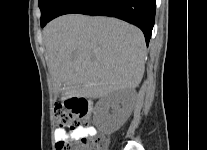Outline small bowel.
<instances>
[{
  "label": "small bowel",
  "instance_id": "obj_1",
  "mask_svg": "<svg viewBox=\"0 0 207 150\" xmlns=\"http://www.w3.org/2000/svg\"><path fill=\"white\" fill-rule=\"evenodd\" d=\"M95 135V129L92 127H84L72 130L70 136L74 139H79L82 137H91ZM69 137L68 132L65 129L58 128L54 131V138L58 142L60 140L66 139Z\"/></svg>",
  "mask_w": 207,
  "mask_h": 150
}]
</instances>
